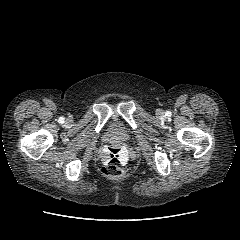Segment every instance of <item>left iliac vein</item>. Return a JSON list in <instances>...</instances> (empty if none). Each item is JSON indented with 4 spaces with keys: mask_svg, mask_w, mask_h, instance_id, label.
I'll return each instance as SVG.
<instances>
[{
    "mask_svg": "<svg viewBox=\"0 0 240 240\" xmlns=\"http://www.w3.org/2000/svg\"><path fill=\"white\" fill-rule=\"evenodd\" d=\"M157 115L159 116V117H163L164 116V112L162 111V110H157Z\"/></svg>",
    "mask_w": 240,
    "mask_h": 240,
    "instance_id": "left-iliac-vein-1",
    "label": "left iliac vein"
}]
</instances>
